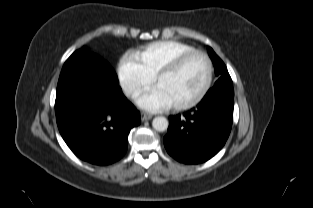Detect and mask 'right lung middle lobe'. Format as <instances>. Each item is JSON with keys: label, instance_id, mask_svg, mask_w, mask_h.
<instances>
[{"label": "right lung middle lobe", "instance_id": "obj_1", "mask_svg": "<svg viewBox=\"0 0 313 208\" xmlns=\"http://www.w3.org/2000/svg\"><path fill=\"white\" fill-rule=\"evenodd\" d=\"M78 51H80V50H77L76 52H78ZM76 52H74L73 54H75Z\"/></svg>", "mask_w": 313, "mask_h": 208}]
</instances>
